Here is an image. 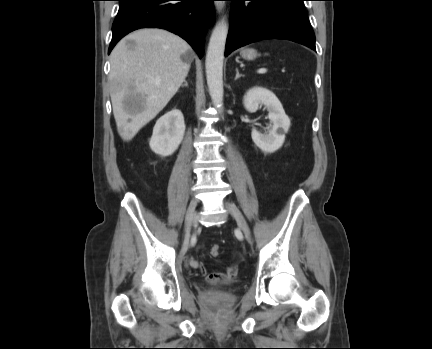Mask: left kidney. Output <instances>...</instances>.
<instances>
[{
    "label": "left kidney",
    "mask_w": 432,
    "mask_h": 349,
    "mask_svg": "<svg viewBox=\"0 0 432 349\" xmlns=\"http://www.w3.org/2000/svg\"><path fill=\"white\" fill-rule=\"evenodd\" d=\"M243 104L249 112H255L258 106L263 104L267 108L268 117L273 124L269 131L264 134L255 129L252 130L251 137L255 145L266 153H273L280 149L285 141V133L290 128V119L285 114L276 95L266 88L253 87L246 92Z\"/></svg>",
    "instance_id": "5707ae66"
}]
</instances>
